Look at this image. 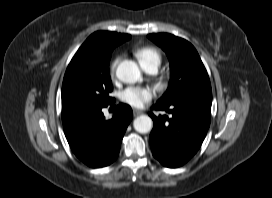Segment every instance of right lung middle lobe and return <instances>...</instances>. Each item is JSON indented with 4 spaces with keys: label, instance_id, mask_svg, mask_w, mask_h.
I'll list each match as a JSON object with an SVG mask.
<instances>
[{
    "label": "right lung middle lobe",
    "instance_id": "1",
    "mask_svg": "<svg viewBox=\"0 0 272 198\" xmlns=\"http://www.w3.org/2000/svg\"><path fill=\"white\" fill-rule=\"evenodd\" d=\"M111 53L89 63L67 85V104L72 109L86 106H104L114 99L109 97L112 82L109 74Z\"/></svg>",
    "mask_w": 272,
    "mask_h": 198
}]
</instances>
